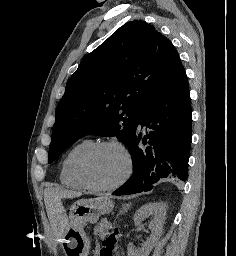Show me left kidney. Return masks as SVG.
Wrapping results in <instances>:
<instances>
[{
  "instance_id": "left-kidney-1",
  "label": "left kidney",
  "mask_w": 236,
  "mask_h": 256,
  "mask_svg": "<svg viewBox=\"0 0 236 256\" xmlns=\"http://www.w3.org/2000/svg\"><path fill=\"white\" fill-rule=\"evenodd\" d=\"M151 214H154L155 220L149 226L151 230L150 238H147L146 242L142 244L143 248H140V250H135L132 244H128V256H149L152 248L156 246V242L162 234L163 224L165 222V204H162V202H156V204H146V206H142V208L137 210L136 214H134V222L135 226H140L144 218H148Z\"/></svg>"
}]
</instances>
